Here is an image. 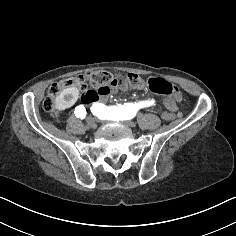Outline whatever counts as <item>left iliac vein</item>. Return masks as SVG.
Here are the masks:
<instances>
[{
    "instance_id": "1",
    "label": "left iliac vein",
    "mask_w": 236,
    "mask_h": 236,
    "mask_svg": "<svg viewBox=\"0 0 236 236\" xmlns=\"http://www.w3.org/2000/svg\"><path fill=\"white\" fill-rule=\"evenodd\" d=\"M124 125L129 126V127H134L135 123L133 121L124 120Z\"/></svg>"
}]
</instances>
